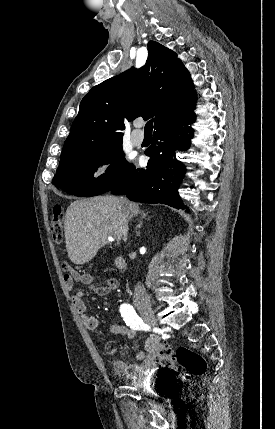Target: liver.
Listing matches in <instances>:
<instances>
[{
	"label": "liver",
	"mask_w": 275,
	"mask_h": 429,
	"mask_svg": "<svg viewBox=\"0 0 275 429\" xmlns=\"http://www.w3.org/2000/svg\"><path fill=\"white\" fill-rule=\"evenodd\" d=\"M139 205L126 198L96 196L77 200L66 210L64 232L70 260L89 262L106 245L110 235L128 236V217L139 213Z\"/></svg>",
	"instance_id": "6515ba94"
}]
</instances>
